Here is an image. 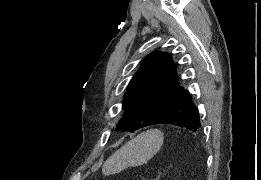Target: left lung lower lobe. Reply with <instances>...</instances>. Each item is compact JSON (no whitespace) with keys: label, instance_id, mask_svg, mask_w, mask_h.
Segmentation results:
<instances>
[{"label":"left lung lower lobe","instance_id":"0a47b994","mask_svg":"<svg viewBox=\"0 0 261 180\" xmlns=\"http://www.w3.org/2000/svg\"><path fill=\"white\" fill-rule=\"evenodd\" d=\"M154 124H172L196 131L200 127L199 112L191 94L183 89L173 102L154 120Z\"/></svg>","mask_w":261,"mask_h":180}]
</instances>
